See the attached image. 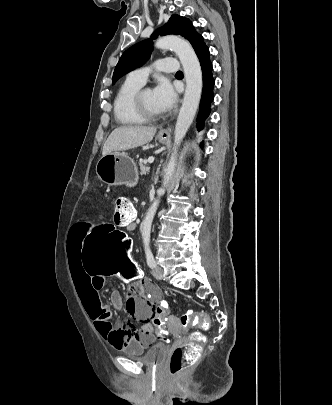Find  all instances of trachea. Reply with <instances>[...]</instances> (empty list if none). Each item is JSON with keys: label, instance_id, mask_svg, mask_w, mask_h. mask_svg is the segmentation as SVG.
<instances>
[{"label": "trachea", "instance_id": "1", "mask_svg": "<svg viewBox=\"0 0 332 405\" xmlns=\"http://www.w3.org/2000/svg\"><path fill=\"white\" fill-rule=\"evenodd\" d=\"M176 74H177V75H182V72H181V71H178Z\"/></svg>", "mask_w": 332, "mask_h": 405}]
</instances>
